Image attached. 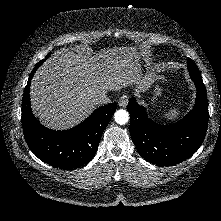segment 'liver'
<instances>
[{"instance_id": "1", "label": "liver", "mask_w": 221, "mask_h": 221, "mask_svg": "<svg viewBox=\"0 0 221 221\" xmlns=\"http://www.w3.org/2000/svg\"><path fill=\"white\" fill-rule=\"evenodd\" d=\"M140 58L132 47H114L96 56L73 48L56 51L32 78L33 113L43 125L64 130L87 118L100 94L133 84L136 92H145L153 76L142 74Z\"/></svg>"}]
</instances>
